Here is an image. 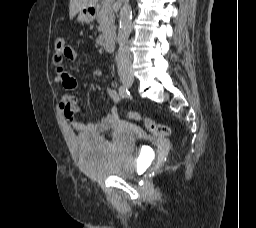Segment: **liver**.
I'll return each instance as SVG.
<instances>
[{
  "mask_svg": "<svg viewBox=\"0 0 256 228\" xmlns=\"http://www.w3.org/2000/svg\"><path fill=\"white\" fill-rule=\"evenodd\" d=\"M98 0H70L69 16L72 19L82 9L94 7Z\"/></svg>",
  "mask_w": 256,
  "mask_h": 228,
  "instance_id": "6515ba94",
  "label": "liver"
}]
</instances>
